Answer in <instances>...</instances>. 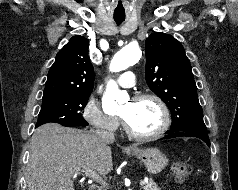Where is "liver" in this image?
Instances as JSON below:
<instances>
[{
    "label": "liver",
    "instance_id": "obj_1",
    "mask_svg": "<svg viewBox=\"0 0 238 190\" xmlns=\"http://www.w3.org/2000/svg\"><path fill=\"white\" fill-rule=\"evenodd\" d=\"M110 143L56 123L38 127L30 141L27 190H74V175L108 174L113 169Z\"/></svg>",
    "mask_w": 238,
    "mask_h": 190
}]
</instances>
